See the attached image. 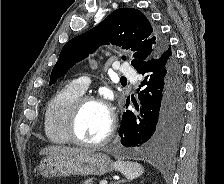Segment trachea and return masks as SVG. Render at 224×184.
<instances>
[{"mask_svg": "<svg viewBox=\"0 0 224 184\" xmlns=\"http://www.w3.org/2000/svg\"><path fill=\"white\" fill-rule=\"evenodd\" d=\"M123 80L127 81L126 78H123Z\"/></svg>", "mask_w": 224, "mask_h": 184, "instance_id": "obj_1", "label": "trachea"}]
</instances>
